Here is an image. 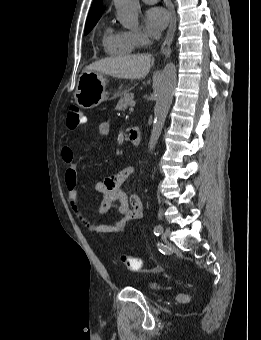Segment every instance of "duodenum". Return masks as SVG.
I'll list each match as a JSON object with an SVG mask.
<instances>
[{"mask_svg": "<svg viewBox=\"0 0 261 340\" xmlns=\"http://www.w3.org/2000/svg\"><path fill=\"white\" fill-rule=\"evenodd\" d=\"M129 141L133 145H139L141 141V131L139 128L134 127L129 130Z\"/></svg>", "mask_w": 261, "mask_h": 340, "instance_id": "1", "label": "duodenum"}]
</instances>
